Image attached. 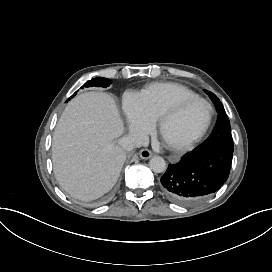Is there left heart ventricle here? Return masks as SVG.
<instances>
[{"label":"left heart ventricle","instance_id":"left-heart-ventricle-1","mask_svg":"<svg viewBox=\"0 0 272 272\" xmlns=\"http://www.w3.org/2000/svg\"><path fill=\"white\" fill-rule=\"evenodd\" d=\"M205 118V108L200 103L189 105L183 112L168 116L167 124L170 131L183 138L201 126Z\"/></svg>","mask_w":272,"mask_h":272}]
</instances>
